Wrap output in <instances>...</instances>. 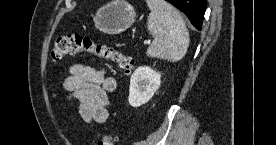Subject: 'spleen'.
Returning <instances> with one entry per match:
<instances>
[{
  "label": "spleen",
  "instance_id": "3e777b00",
  "mask_svg": "<svg viewBox=\"0 0 276 145\" xmlns=\"http://www.w3.org/2000/svg\"><path fill=\"white\" fill-rule=\"evenodd\" d=\"M150 14L147 28L154 39L147 56L170 62L181 60L189 46V32L179 12L164 0L146 1Z\"/></svg>",
  "mask_w": 276,
  "mask_h": 145
}]
</instances>
